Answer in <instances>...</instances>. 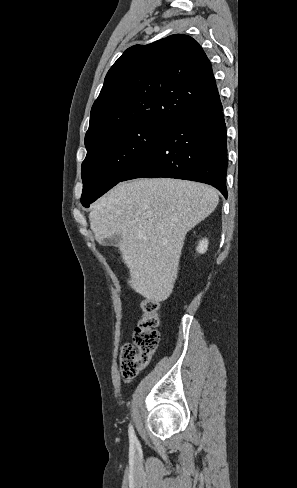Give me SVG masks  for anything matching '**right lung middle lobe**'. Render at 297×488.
Masks as SVG:
<instances>
[{
    "mask_svg": "<svg viewBox=\"0 0 297 488\" xmlns=\"http://www.w3.org/2000/svg\"><path fill=\"white\" fill-rule=\"evenodd\" d=\"M165 122H145L121 128L87 148L82 163L84 207L115 186L142 160L169 127Z\"/></svg>",
    "mask_w": 297,
    "mask_h": 488,
    "instance_id": "right-lung-middle-lobe-1",
    "label": "right lung middle lobe"
}]
</instances>
